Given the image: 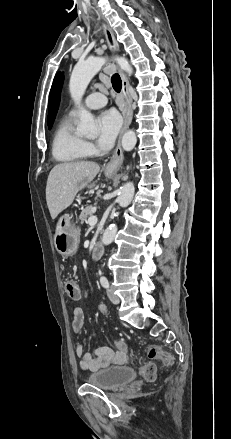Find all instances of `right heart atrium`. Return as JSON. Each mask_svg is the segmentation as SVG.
I'll list each match as a JSON object with an SVG mask.
<instances>
[{
    "instance_id": "right-heart-atrium-1",
    "label": "right heart atrium",
    "mask_w": 231,
    "mask_h": 439,
    "mask_svg": "<svg viewBox=\"0 0 231 439\" xmlns=\"http://www.w3.org/2000/svg\"><path fill=\"white\" fill-rule=\"evenodd\" d=\"M86 149H87V152H88L89 154H92V153L95 152V147H94V145H93L92 143H90V142H86Z\"/></svg>"
}]
</instances>
